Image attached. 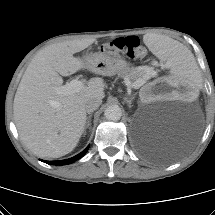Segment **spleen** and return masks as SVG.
I'll list each match as a JSON object with an SVG mask.
<instances>
[{
    "instance_id": "1",
    "label": "spleen",
    "mask_w": 215,
    "mask_h": 215,
    "mask_svg": "<svg viewBox=\"0 0 215 215\" xmlns=\"http://www.w3.org/2000/svg\"><path fill=\"white\" fill-rule=\"evenodd\" d=\"M144 44L158 57L170 64V69L178 73L187 82L196 84L200 80L198 62L192 58V53L166 38L157 40L153 35L144 39Z\"/></svg>"
}]
</instances>
